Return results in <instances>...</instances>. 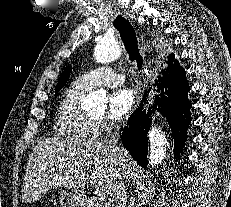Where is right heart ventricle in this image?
Returning <instances> with one entry per match:
<instances>
[{"mask_svg": "<svg viewBox=\"0 0 231 207\" xmlns=\"http://www.w3.org/2000/svg\"><path fill=\"white\" fill-rule=\"evenodd\" d=\"M87 91L73 84L62 98L55 120V134L69 141H84L94 138L98 124L90 119L80 106Z\"/></svg>", "mask_w": 231, "mask_h": 207, "instance_id": "e07e8e85", "label": "right heart ventricle"}]
</instances>
